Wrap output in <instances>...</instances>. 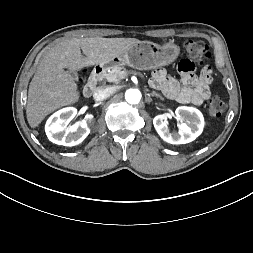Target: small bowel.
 <instances>
[{
  "mask_svg": "<svg viewBox=\"0 0 253 253\" xmlns=\"http://www.w3.org/2000/svg\"><path fill=\"white\" fill-rule=\"evenodd\" d=\"M201 70L202 73L197 75L198 61L182 58L176 65V72L182 76L180 80L170 77L165 69L159 68L152 73L150 85L171 100L201 105L210 97L212 68L205 65V69L201 67Z\"/></svg>",
  "mask_w": 253,
  "mask_h": 253,
  "instance_id": "c3829d8e",
  "label": "small bowel"
}]
</instances>
